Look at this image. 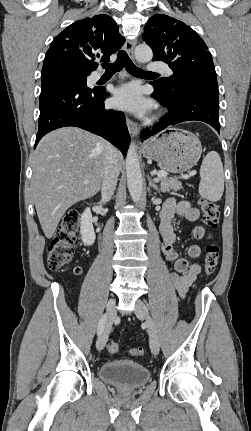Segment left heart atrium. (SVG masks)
Listing matches in <instances>:
<instances>
[{
  "mask_svg": "<svg viewBox=\"0 0 251 431\" xmlns=\"http://www.w3.org/2000/svg\"><path fill=\"white\" fill-rule=\"evenodd\" d=\"M112 101L115 107L136 113H144L151 106L150 102L143 98L141 89L134 84L117 89Z\"/></svg>",
  "mask_w": 251,
  "mask_h": 431,
  "instance_id": "39dd6f15",
  "label": "left heart atrium"
}]
</instances>
